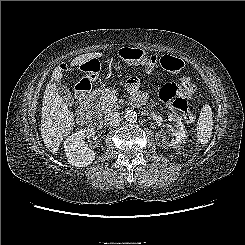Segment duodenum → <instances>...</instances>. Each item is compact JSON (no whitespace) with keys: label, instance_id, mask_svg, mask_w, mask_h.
<instances>
[{"label":"duodenum","instance_id":"duodenum-1","mask_svg":"<svg viewBox=\"0 0 245 245\" xmlns=\"http://www.w3.org/2000/svg\"><path fill=\"white\" fill-rule=\"evenodd\" d=\"M101 94V90L90 93L85 89L83 83H80L77 89V98L80 104L86 109L87 125L93 129H99L102 124L100 114L95 106V102Z\"/></svg>","mask_w":245,"mask_h":245}]
</instances>
